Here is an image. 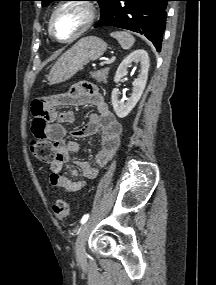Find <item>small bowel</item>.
<instances>
[{
	"label": "small bowel",
	"mask_w": 216,
	"mask_h": 285,
	"mask_svg": "<svg viewBox=\"0 0 216 285\" xmlns=\"http://www.w3.org/2000/svg\"><path fill=\"white\" fill-rule=\"evenodd\" d=\"M55 105L82 106L93 105L97 111L90 113L87 123L74 129L71 134L77 138H85L100 134V148L94 157V164L86 160H76L75 164L81 171V177L72 180L64 174L77 177L78 171L69 165L71 154L80 150L76 141H66V125L71 124L75 115L72 111L54 112L48 104L36 100L32 104L33 136H44V141H53L56 156L50 163V185L54 189H60L69 193H77L87 186V181L97 177L99 167L105 166L113 157L120 144L122 126L115 115L110 111L104 95L99 89L89 83L75 84L68 92L56 96Z\"/></svg>",
	"instance_id": "c3829d8e"
}]
</instances>
